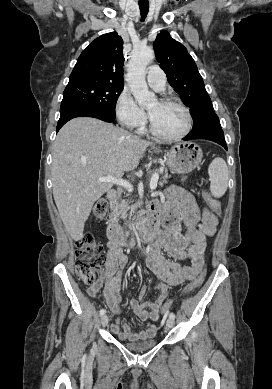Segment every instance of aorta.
I'll return each instance as SVG.
<instances>
[{"label":"aorta","mask_w":272,"mask_h":389,"mask_svg":"<svg viewBox=\"0 0 272 389\" xmlns=\"http://www.w3.org/2000/svg\"><path fill=\"white\" fill-rule=\"evenodd\" d=\"M154 59V51L147 46L135 47L128 63L127 81L131 92L140 106L156 101L155 94L150 92L145 80V69Z\"/></svg>","instance_id":"762f6f07"}]
</instances>
